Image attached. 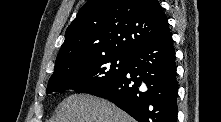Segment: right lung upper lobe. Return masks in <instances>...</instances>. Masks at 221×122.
I'll return each instance as SVG.
<instances>
[{"mask_svg": "<svg viewBox=\"0 0 221 122\" xmlns=\"http://www.w3.org/2000/svg\"><path fill=\"white\" fill-rule=\"evenodd\" d=\"M167 25L157 0H89L66 30L52 76L101 56H131Z\"/></svg>", "mask_w": 221, "mask_h": 122, "instance_id": "right-lung-upper-lobe-1", "label": "right lung upper lobe"}]
</instances>
